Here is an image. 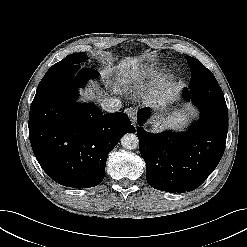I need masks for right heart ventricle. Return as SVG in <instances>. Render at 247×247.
I'll return each mask as SVG.
<instances>
[{
	"mask_svg": "<svg viewBox=\"0 0 247 247\" xmlns=\"http://www.w3.org/2000/svg\"><path fill=\"white\" fill-rule=\"evenodd\" d=\"M152 74V70L150 68H142L138 71H136L133 75H132V80L135 82H140L148 77H150Z\"/></svg>",
	"mask_w": 247,
	"mask_h": 247,
	"instance_id": "right-heart-ventricle-1",
	"label": "right heart ventricle"
}]
</instances>
